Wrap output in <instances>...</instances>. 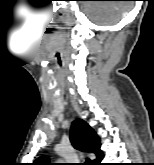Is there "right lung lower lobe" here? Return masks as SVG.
Returning <instances> with one entry per match:
<instances>
[{
	"label": "right lung lower lobe",
	"mask_w": 154,
	"mask_h": 165,
	"mask_svg": "<svg viewBox=\"0 0 154 165\" xmlns=\"http://www.w3.org/2000/svg\"><path fill=\"white\" fill-rule=\"evenodd\" d=\"M96 156H97V158L93 161V163L91 165H103L101 163V161L103 159V152L100 150V148H99V152Z\"/></svg>",
	"instance_id": "right-lung-lower-lobe-1"
}]
</instances>
